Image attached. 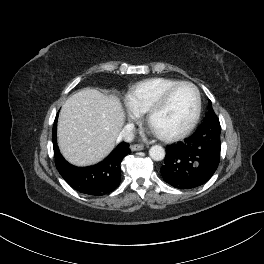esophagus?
Listing matches in <instances>:
<instances>
[{"instance_id": "obj_1", "label": "esophagus", "mask_w": 264, "mask_h": 264, "mask_svg": "<svg viewBox=\"0 0 264 264\" xmlns=\"http://www.w3.org/2000/svg\"><path fill=\"white\" fill-rule=\"evenodd\" d=\"M130 148H131L132 151H140V150L144 149V145H142V144H133V145H131Z\"/></svg>"}]
</instances>
